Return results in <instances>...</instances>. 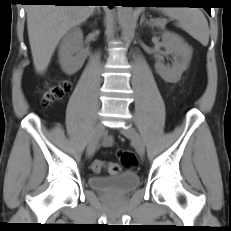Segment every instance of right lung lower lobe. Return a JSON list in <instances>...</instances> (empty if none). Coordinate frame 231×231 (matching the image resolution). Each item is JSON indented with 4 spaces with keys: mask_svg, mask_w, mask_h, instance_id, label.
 I'll return each instance as SVG.
<instances>
[{
    "mask_svg": "<svg viewBox=\"0 0 231 231\" xmlns=\"http://www.w3.org/2000/svg\"><path fill=\"white\" fill-rule=\"evenodd\" d=\"M25 2L28 3H51L54 5H78L76 2H71V1H76V0H24ZM109 7L112 8L113 5L111 3H108Z\"/></svg>",
    "mask_w": 231,
    "mask_h": 231,
    "instance_id": "obj_1",
    "label": "right lung lower lobe"
}]
</instances>
